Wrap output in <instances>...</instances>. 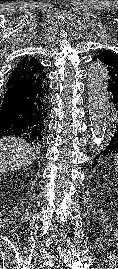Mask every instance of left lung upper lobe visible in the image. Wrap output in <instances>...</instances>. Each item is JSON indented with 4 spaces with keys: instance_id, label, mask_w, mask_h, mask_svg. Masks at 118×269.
Instances as JSON below:
<instances>
[{
    "instance_id": "obj_1",
    "label": "left lung upper lobe",
    "mask_w": 118,
    "mask_h": 269,
    "mask_svg": "<svg viewBox=\"0 0 118 269\" xmlns=\"http://www.w3.org/2000/svg\"><path fill=\"white\" fill-rule=\"evenodd\" d=\"M93 59L104 64L108 75V92L118 96V55L110 50L101 49Z\"/></svg>"
}]
</instances>
